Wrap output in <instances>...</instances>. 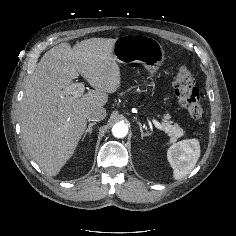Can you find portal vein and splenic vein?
Listing matches in <instances>:
<instances>
[{
	"label": "portal vein and splenic vein",
	"mask_w": 236,
	"mask_h": 236,
	"mask_svg": "<svg viewBox=\"0 0 236 236\" xmlns=\"http://www.w3.org/2000/svg\"><path fill=\"white\" fill-rule=\"evenodd\" d=\"M84 84L83 83H74L70 86L66 87L65 93L74 95L75 97H81L84 92ZM153 123L156 128L163 130V126L156 120H153Z\"/></svg>",
	"instance_id": "1"
}]
</instances>
